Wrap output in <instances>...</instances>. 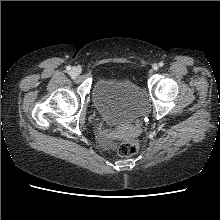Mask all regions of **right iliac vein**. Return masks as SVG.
<instances>
[{"mask_svg":"<svg viewBox=\"0 0 220 220\" xmlns=\"http://www.w3.org/2000/svg\"><path fill=\"white\" fill-rule=\"evenodd\" d=\"M70 74H71L73 77L78 76V75L80 74V68H78V67L72 68Z\"/></svg>","mask_w":220,"mask_h":220,"instance_id":"obj_1","label":"right iliac vein"}]
</instances>
